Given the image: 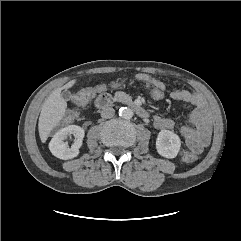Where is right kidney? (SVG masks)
Here are the masks:
<instances>
[{
    "label": "right kidney",
    "mask_w": 241,
    "mask_h": 241,
    "mask_svg": "<svg viewBox=\"0 0 241 241\" xmlns=\"http://www.w3.org/2000/svg\"><path fill=\"white\" fill-rule=\"evenodd\" d=\"M74 135L75 142L69 148L67 143L64 142L67 136ZM84 138V130L77 125H69L59 130L51 139L49 149L51 153L63 160H68L76 157L79 154V149L82 145Z\"/></svg>",
    "instance_id": "ca27d5eb"
}]
</instances>
